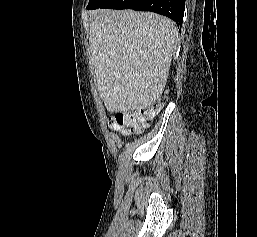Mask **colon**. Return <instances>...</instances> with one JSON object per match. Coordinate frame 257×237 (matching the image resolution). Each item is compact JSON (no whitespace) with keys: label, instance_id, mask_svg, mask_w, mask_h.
Wrapping results in <instances>:
<instances>
[{"label":"colon","instance_id":"obj_1","mask_svg":"<svg viewBox=\"0 0 257 237\" xmlns=\"http://www.w3.org/2000/svg\"><path fill=\"white\" fill-rule=\"evenodd\" d=\"M163 101L144 107L135 112H118L109 119V124L124 135L140 132L161 110Z\"/></svg>","mask_w":257,"mask_h":237}]
</instances>
